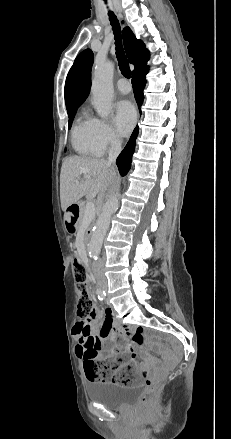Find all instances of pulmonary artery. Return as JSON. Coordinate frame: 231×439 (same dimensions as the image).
<instances>
[{"mask_svg":"<svg viewBox=\"0 0 231 439\" xmlns=\"http://www.w3.org/2000/svg\"><path fill=\"white\" fill-rule=\"evenodd\" d=\"M117 88L122 93H128L131 90L130 84L125 79H119L116 83Z\"/></svg>","mask_w":231,"mask_h":439,"instance_id":"obj_1","label":"pulmonary artery"}]
</instances>
